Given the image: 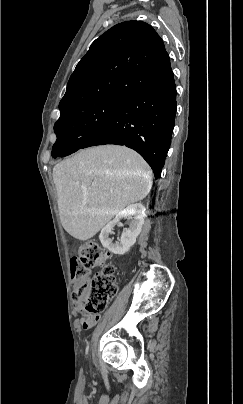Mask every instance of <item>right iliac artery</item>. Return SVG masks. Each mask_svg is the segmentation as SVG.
<instances>
[{
	"label": "right iliac artery",
	"mask_w": 243,
	"mask_h": 404,
	"mask_svg": "<svg viewBox=\"0 0 243 404\" xmlns=\"http://www.w3.org/2000/svg\"><path fill=\"white\" fill-rule=\"evenodd\" d=\"M88 350H89V346H87V348H86V354L88 353Z\"/></svg>",
	"instance_id": "obj_1"
}]
</instances>
